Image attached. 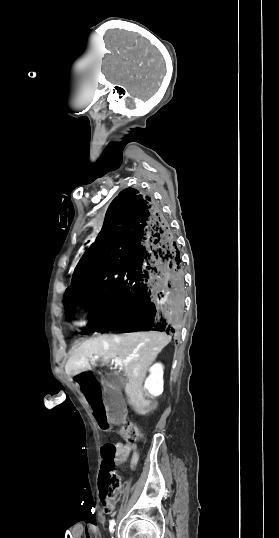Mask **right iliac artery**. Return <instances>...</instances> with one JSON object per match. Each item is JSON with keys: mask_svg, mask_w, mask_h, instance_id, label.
Instances as JSON below:
<instances>
[{"mask_svg": "<svg viewBox=\"0 0 279 538\" xmlns=\"http://www.w3.org/2000/svg\"><path fill=\"white\" fill-rule=\"evenodd\" d=\"M114 525H115V521H114V520H111V521H110V526H109V529H110V532H111V533L114 531Z\"/></svg>", "mask_w": 279, "mask_h": 538, "instance_id": "right-iliac-artery-1", "label": "right iliac artery"}]
</instances>
